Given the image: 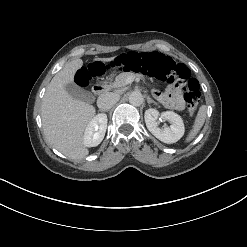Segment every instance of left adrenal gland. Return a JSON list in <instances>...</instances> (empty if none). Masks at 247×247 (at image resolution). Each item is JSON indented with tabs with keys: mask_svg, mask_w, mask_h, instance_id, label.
I'll use <instances>...</instances> for the list:
<instances>
[{
	"mask_svg": "<svg viewBox=\"0 0 247 247\" xmlns=\"http://www.w3.org/2000/svg\"><path fill=\"white\" fill-rule=\"evenodd\" d=\"M147 102L148 104L154 103L155 105H157V103L153 99H151L149 96H147Z\"/></svg>",
	"mask_w": 247,
	"mask_h": 247,
	"instance_id": "obj_1",
	"label": "left adrenal gland"
}]
</instances>
